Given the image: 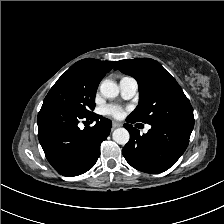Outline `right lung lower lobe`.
Returning a JSON list of instances; mask_svg holds the SVG:
<instances>
[{
    "label": "right lung lower lobe",
    "instance_id": "right-lung-lower-lobe-1",
    "mask_svg": "<svg viewBox=\"0 0 224 224\" xmlns=\"http://www.w3.org/2000/svg\"><path fill=\"white\" fill-rule=\"evenodd\" d=\"M81 119L96 121L81 130ZM38 138L45 156L63 176H77L90 170L100 155V145L108 137L112 122L100 115L81 117L68 110L42 106L37 118Z\"/></svg>",
    "mask_w": 224,
    "mask_h": 224
}]
</instances>
